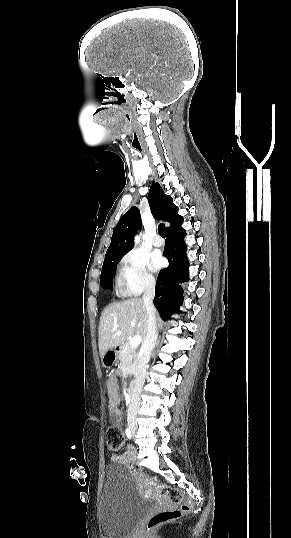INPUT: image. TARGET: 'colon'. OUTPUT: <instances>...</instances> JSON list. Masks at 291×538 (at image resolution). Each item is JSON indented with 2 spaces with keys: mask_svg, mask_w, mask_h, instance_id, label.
Returning <instances> with one entry per match:
<instances>
[{
  "mask_svg": "<svg viewBox=\"0 0 291 538\" xmlns=\"http://www.w3.org/2000/svg\"><path fill=\"white\" fill-rule=\"evenodd\" d=\"M124 446V438L120 428L116 425L110 426L106 432V448L111 454L118 453ZM132 471L139 473L140 469L137 466H131ZM166 496L178 506L173 510H163L155 513L148 520L145 535L149 536L155 532L161 525L168 521L180 518L184 513L188 512L191 506V502L186 500L180 490L173 487H166L164 489Z\"/></svg>",
  "mask_w": 291,
  "mask_h": 538,
  "instance_id": "1",
  "label": "colon"
}]
</instances>
